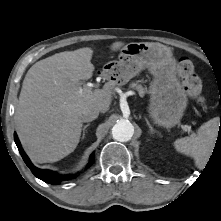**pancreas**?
I'll use <instances>...</instances> for the list:
<instances>
[{
  "mask_svg": "<svg viewBox=\"0 0 221 221\" xmlns=\"http://www.w3.org/2000/svg\"><path fill=\"white\" fill-rule=\"evenodd\" d=\"M130 87L137 90L138 93H139V96L143 97L144 94L146 93V89L140 85V84H137V83H131L130 84Z\"/></svg>",
  "mask_w": 221,
  "mask_h": 221,
  "instance_id": "pancreas-1",
  "label": "pancreas"
}]
</instances>
